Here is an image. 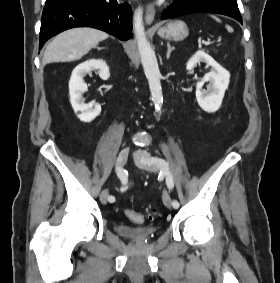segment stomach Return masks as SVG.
Wrapping results in <instances>:
<instances>
[{"label": "stomach", "instance_id": "obj_1", "mask_svg": "<svg viewBox=\"0 0 280 283\" xmlns=\"http://www.w3.org/2000/svg\"><path fill=\"white\" fill-rule=\"evenodd\" d=\"M158 35L163 39L182 41L188 37L189 29L183 21L174 20L161 27Z\"/></svg>", "mask_w": 280, "mask_h": 283}]
</instances>
